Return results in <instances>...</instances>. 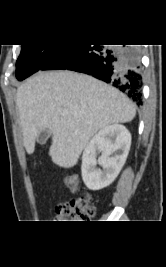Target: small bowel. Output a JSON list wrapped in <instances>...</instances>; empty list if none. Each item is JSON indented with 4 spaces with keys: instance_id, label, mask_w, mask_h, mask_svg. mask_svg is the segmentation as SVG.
Instances as JSON below:
<instances>
[{
    "instance_id": "small-bowel-1",
    "label": "small bowel",
    "mask_w": 166,
    "mask_h": 267,
    "mask_svg": "<svg viewBox=\"0 0 166 267\" xmlns=\"http://www.w3.org/2000/svg\"><path fill=\"white\" fill-rule=\"evenodd\" d=\"M66 185L70 188L71 191L75 192L77 190V185L70 179L68 178L66 180Z\"/></svg>"
}]
</instances>
